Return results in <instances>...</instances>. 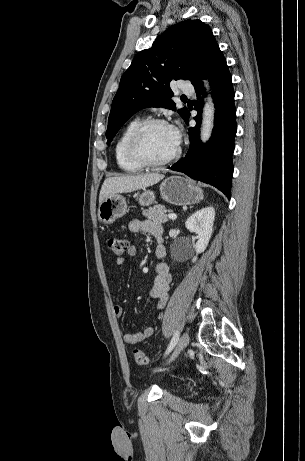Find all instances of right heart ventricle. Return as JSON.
I'll list each match as a JSON object with an SVG mask.
<instances>
[{
    "label": "right heart ventricle",
    "instance_id": "e07e8e85",
    "mask_svg": "<svg viewBox=\"0 0 305 461\" xmlns=\"http://www.w3.org/2000/svg\"><path fill=\"white\" fill-rule=\"evenodd\" d=\"M143 121L142 118H134L132 119L122 130L120 136L118 137L115 147H114V154L117 165L120 169L126 172H138L142 169L141 166L134 163L128 156L127 153V144L129 138L135 128Z\"/></svg>",
    "mask_w": 305,
    "mask_h": 461
}]
</instances>
